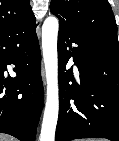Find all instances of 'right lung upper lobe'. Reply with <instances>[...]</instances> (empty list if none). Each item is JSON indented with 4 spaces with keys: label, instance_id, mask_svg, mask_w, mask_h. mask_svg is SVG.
Segmentation results:
<instances>
[{
    "label": "right lung upper lobe",
    "instance_id": "right-lung-upper-lobe-1",
    "mask_svg": "<svg viewBox=\"0 0 119 141\" xmlns=\"http://www.w3.org/2000/svg\"><path fill=\"white\" fill-rule=\"evenodd\" d=\"M35 21L29 0H0V36Z\"/></svg>",
    "mask_w": 119,
    "mask_h": 141
}]
</instances>
